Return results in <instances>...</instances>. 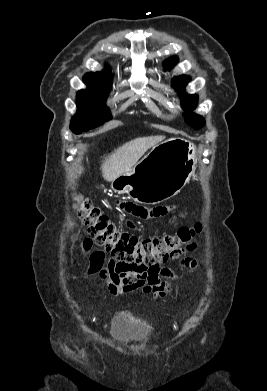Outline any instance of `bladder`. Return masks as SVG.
<instances>
[{"label":"bladder","instance_id":"obj_1","mask_svg":"<svg viewBox=\"0 0 267 391\" xmlns=\"http://www.w3.org/2000/svg\"><path fill=\"white\" fill-rule=\"evenodd\" d=\"M111 337L121 343L141 342L147 339V330L129 311L118 312L110 326Z\"/></svg>","mask_w":267,"mask_h":391}]
</instances>
